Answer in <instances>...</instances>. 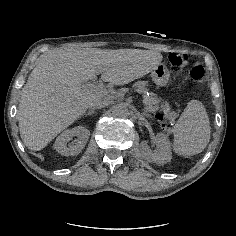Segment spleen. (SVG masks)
<instances>
[{
    "instance_id": "spleen-1",
    "label": "spleen",
    "mask_w": 236,
    "mask_h": 236,
    "mask_svg": "<svg viewBox=\"0 0 236 236\" xmlns=\"http://www.w3.org/2000/svg\"><path fill=\"white\" fill-rule=\"evenodd\" d=\"M210 122L202 102L191 100L174 127L175 152L192 156L201 153L210 140Z\"/></svg>"
}]
</instances>
